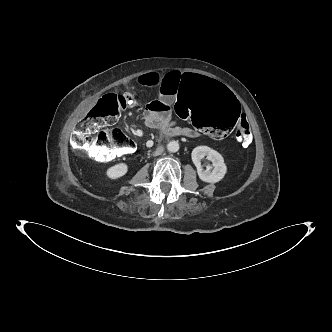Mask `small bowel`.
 I'll use <instances>...</instances> for the list:
<instances>
[{"label": "small bowel", "instance_id": "1", "mask_svg": "<svg viewBox=\"0 0 332 332\" xmlns=\"http://www.w3.org/2000/svg\"><path fill=\"white\" fill-rule=\"evenodd\" d=\"M182 78L180 72L157 73L151 72L144 74L138 78V83L159 89V98L152 100L146 105L144 118L148 127L155 129H162L174 124L171 115V103L175 97V89ZM135 102L133 97H130V104ZM185 135L188 137H197L199 133L190 128H183Z\"/></svg>", "mask_w": 332, "mask_h": 332}]
</instances>
